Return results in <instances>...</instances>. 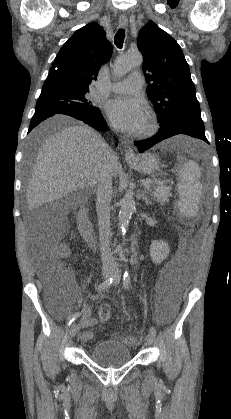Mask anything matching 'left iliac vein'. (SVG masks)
Masks as SVG:
<instances>
[{"mask_svg": "<svg viewBox=\"0 0 231 419\" xmlns=\"http://www.w3.org/2000/svg\"><path fill=\"white\" fill-rule=\"evenodd\" d=\"M112 276L115 278V285H117L120 282V272L118 269L113 270ZM146 342L150 346L154 343V336L151 333L147 334Z\"/></svg>", "mask_w": 231, "mask_h": 419, "instance_id": "1", "label": "left iliac vein"}]
</instances>
